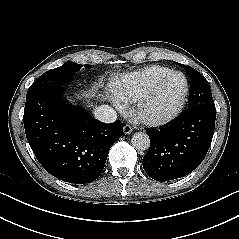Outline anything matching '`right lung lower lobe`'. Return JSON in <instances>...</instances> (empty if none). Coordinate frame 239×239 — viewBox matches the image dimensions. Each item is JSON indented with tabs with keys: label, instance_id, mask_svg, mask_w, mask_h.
<instances>
[{
	"label": "right lung lower lobe",
	"instance_id": "98d812e1",
	"mask_svg": "<svg viewBox=\"0 0 239 239\" xmlns=\"http://www.w3.org/2000/svg\"><path fill=\"white\" fill-rule=\"evenodd\" d=\"M63 86L26 95L25 133L37 160L54 177L91 183L104 169L108 152L123 135V124H104L81 107L64 104Z\"/></svg>",
	"mask_w": 239,
	"mask_h": 239
}]
</instances>
